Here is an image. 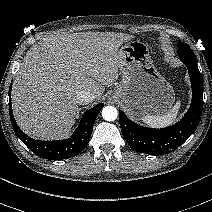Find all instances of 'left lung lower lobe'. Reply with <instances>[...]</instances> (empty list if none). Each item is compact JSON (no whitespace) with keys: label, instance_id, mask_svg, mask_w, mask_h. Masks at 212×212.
I'll list each match as a JSON object with an SVG mask.
<instances>
[{"label":"left lung lower lobe","instance_id":"left-lung-lower-lobe-1","mask_svg":"<svg viewBox=\"0 0 212 212\" xmlns=\"http://www.w3.org/2000/svg\"><path fill=\"white\" fill-rule=\"evenodd\" d=\"M187 66L192 85V102L185 116L175 125L163 129L145 128L130 121L119 110L121 131L137 152L162 155L175 151L196 130L203 109V83L196 57L179 55Z\"/></svg>","mask_w":212,"mask_h":212}]
</instances>
